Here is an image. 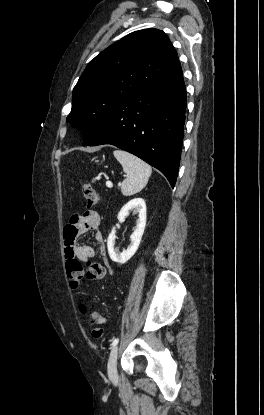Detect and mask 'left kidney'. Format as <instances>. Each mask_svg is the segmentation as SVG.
<instances>
[{
    "mask_svg": "<svg viewBox=\"0 0 264 415\" xmlns=\"http://www.w3.org/2000/svg\"><path fill=\"white\" fill-rule=\"evenodd\" d=\"M129 211H133L138 214V219L134 232L131 235V244L123 252H119L115 248V227L112 228L111 233L108 236L107 248L108 253L112 261L124 264L126 263L137 251L141 238L143 236L145 226H146V204L142 198H134L126 203L120 210L118 214V220L124 221L127 217Z\"/></svg>",
    "mask_w": 264,
    "mask_h": 415,
    "instance_id": "1",
    "label": "left kidney"
}]
</instances>
